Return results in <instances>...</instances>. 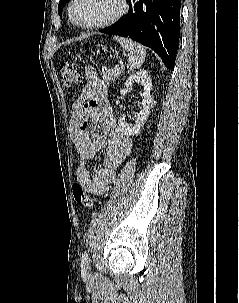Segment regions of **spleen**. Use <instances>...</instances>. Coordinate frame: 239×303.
I'll return each instance as SVG.
<instances>
[{
	"mask_svg": "<svg viewBox=\"0 0 239 303\" xmlns=\"http://www.w3.org/2000/svg\"><path fill=\"white\" fill-rule=\"evenodd\" d=\"M114 40L129 52L127 64L128 69L130 71H134L140 68L146 57L145 48L140 43L128 38L116 36L114 37Z\"/></svg>",
	"mask_w": 239,
	"mask_h": 303,
	"instance_id": "3e777b00",
	"label": "spleen"
}]
</instances>
